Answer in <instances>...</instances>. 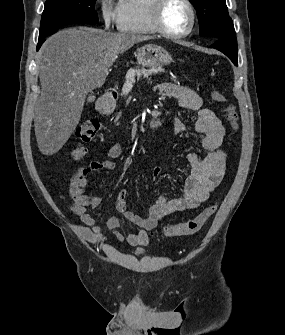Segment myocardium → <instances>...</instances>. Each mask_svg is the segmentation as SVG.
<instances>
[{
	"label": "myocardium",
	"mask_w": 285,
	"mask_h": 335,
	"mask_svg": "<svg viewBox=\"0 0 285 335\" xmlns=\"http://www.w3.org/2000/svg\"><path fill=\"white\" fill-rule=\"evenodd\" d=\"M173 2H180L188 9L190 14V21L188 26L174 31L168 28L165 22V11L167 7ZM195 23V14L192 4L189 1H156L155 7V25L160 34L168 38H181L191 32Z\"/></svg>",
	"instance_id": "f54148a6"
}]
</instances>
